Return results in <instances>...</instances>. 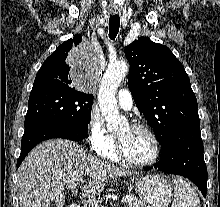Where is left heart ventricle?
Wrapping results in <instances>:
<instances>
[{
    "instance_id": "obj_1",
    "label": "left heart ventricle",
    "mask_w": 220,
    "mask_h": 207,
    "mask_svg": "<svg viewBox=\"0 0 220 207\" xmlns=\"http://www.w3.org/2000/svg\"><path fill=\"white\" fill-rule=\"evenodd\" d=\"M116 137L131 160L144 162L152 158L154 146L146 132L126 125L117 132Z\"/></svg>"
}]
</instances>
